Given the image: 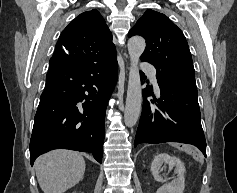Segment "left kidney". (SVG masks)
<instances>
[{
	"label": "left kidney",
	"instance_id": "1",
	"mask_svg": "<svg viewBox=\"0 0 237 193\" xmlns=\"http://www.w3.org/2000/svg\"><path fill=\"white\" fill-rule=\"evenodd\" d=\"M163 163L169 166V169L174 168V172L177 174V178L170 183H166L161 186L156 193H183L185 188V166L180 159L170 156L166 153H161L155 156L151 164V172L154 179L158 182H163L164 179L160 175L159 170Z\"/></svg>",
	"mask_w": 237,
	"mask_h": 193
}]
</instances>
